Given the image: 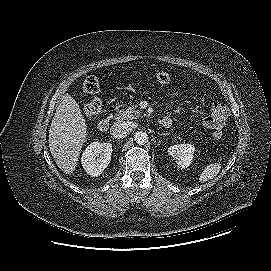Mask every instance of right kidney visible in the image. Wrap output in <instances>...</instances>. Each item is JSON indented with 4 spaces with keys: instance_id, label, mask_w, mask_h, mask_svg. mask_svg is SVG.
<instances>
[{
    "instance_id": "1",
    "label": "right kidney",
    "mask_w": 271,
    "mask_h": 271,
    "mask_svg": "<svg viewBox=\"0 0 271 271\" xmlns=\"http://www.w3.org/2000/svg\"><path fill=\"white\" fill-rule=\"evenodd\" d=\"M112 145L110 143L92 142L84 150L81 163L87 174L97 177L111 161Z\"/></svg>"
}]
</instances>
